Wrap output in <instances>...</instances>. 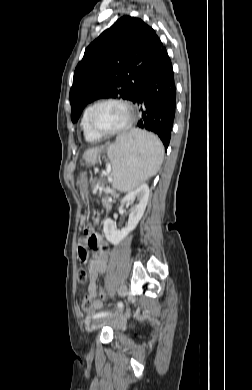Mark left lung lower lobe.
<instances>
[{"label": "left lung lower lobe", "mask_w": 252, "mask_h": 390, "mask_svg": "<svg viewBox=\"0 0 252 390\" xmlns=\"http://www.w3.org/2000/svg\"><path fill=\"white\" fill-rule=\"evenodd\" d=\"M133 103L140 105L141 119L137 126L157 134L167 150L176 111V86L164 47L141 78Z\"/></svg>", "instance_id": "obj_1"}]
</instances>
